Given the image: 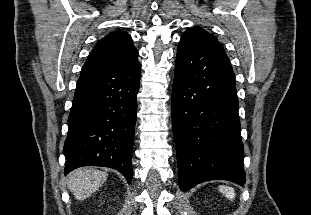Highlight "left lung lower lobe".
I'll list each match as a JSON object with an SVG mask.
<instances>
[{"instance_id":"obj_1","label":"left lung lower lobe","mask_w":311,"mask_h":215,"mask_svg":"<svg viewBox=\"0 0 311 215\" xmlns=\"http://www.w3.org/2000/svg\"><path fill=\"white\" fill-rule=\"evenodd\" d=\"M235 82L225 51L181 37L171 111L182 191L215 179L246 182Z\"/></svg>"}]
</instances>
